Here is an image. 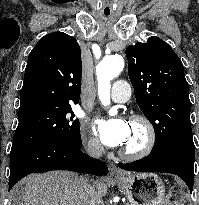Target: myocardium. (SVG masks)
<instances>
[{
    "label": "myocardium",
    "instance_id": "myocardium-1",
    "mask_svg": "<svg viewBox=\"0 0 199 205\" xmlns=\"http://www.w3.org/2000/svg\"><path fill=\"white\" fill-rule=\"evenodd\" d=\"M133 124L141 126L144 130V139L142 144L136 149L122 148L120 155L128 160H138L148 156L154 149L157 141V134L154 124L143 114H134L130 117Z\"/></svg>",
    "mask_w": 199,
    "mask_h": 205
}]
</instances>
